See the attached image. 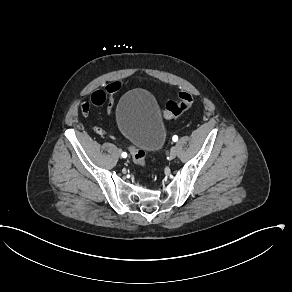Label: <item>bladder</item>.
I'll use <instances>...</instances> for the list:
<instances>
[{"label":"bladder","mask_w":292,"mask_h":292,"mask_svg":"<svg viewBox=\"0 0 292 292\" xmlns=\"http://www.w3.org/2000/svg\"><path fill=\"white\" fill-rule=\"evenodd\" d=\"M115 120L122 135L136 148L154 152L165 139V125L154 96L147 90L135 88L119 101Z\"/></svg>","instance_id":"obj_1"}]
</instances>
